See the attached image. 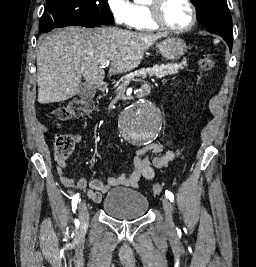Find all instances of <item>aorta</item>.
I'll return each instance as SVG.
<instances>
[{
	"mask_svg": "<svg viewBox=\"0 0 256 267\" xmlns=\"http://www.w3.org/2000/svg\"><path fill=\"white\" fill-rule=\"evenodd\" d=\"M160 108L152 101H133L127 108L126 117H119L120 127H160ZM127 143H150V138H158L160 128H121Z\"/></svg>",
	"mask_w": 256,
	"mask_h": 267,
	"instance_id": "762f6f07",
	"label": "aorta"
}]
</instances>
